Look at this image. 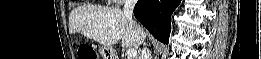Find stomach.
<instances>
[{
  "instance_id": "obj_1",
  "label": "stomach",
  "mask_w": 261,
  "mask_h": 59,
  "mask_svg": "<svg viewBox=\"0 0 261 59\" xmlns=\"http://www.w3.org/2000/svg\"><path fill=\"white\" fill-rule=\"evenodd\" d=\"M99 53L102 56V59H115L109 47H101Z\"/></svg>"
}]
</instances>
